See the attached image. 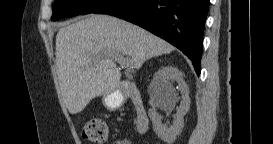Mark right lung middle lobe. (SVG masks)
<instances>
[{
	"label": "right lung middle lobe",
	"mask_w": 273,
	"mask_h": 144,
	"mask_svg": "<svg viewBox=\"0 0 273 144\" xmlns=\"http://www.w3.org/2000/svg\"><path fill=\"white\" fill-rule=\"evenodd\" d=\"M109 0H55L52 9V20L56 21L65 17L93 13L97 8Z\"/></svg>",
	"instance_id": "right-lung-middle-lobe-1"
}]
</instances>
